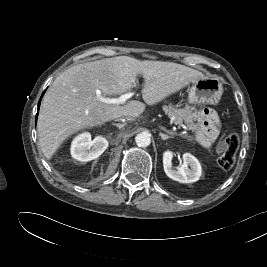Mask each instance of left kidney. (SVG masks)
Returning <instances> with one entry per match:
<instances>
[{"label": "left kidney", "instance_id": "left-kidney-1", "mask_svg": "<svg viewBox=\"0 0 267 267\" xmlns=\"http://www.w3.org/2000/svg\"><path fill=\"white\" fill-rule=\"evenodd\" d=\"M172 158V151L167 150L163 153V167L169 178L180 183H193L199 180L202 168L196 157L190 153L183 154V164L177 169L172 166Z\"/></svg>", "mask_w": 267, "mask_h": 267}]
</instances>
